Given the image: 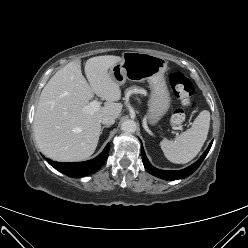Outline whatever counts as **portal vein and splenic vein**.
<instances>
[{
    "instance_id": "portal-vein-and-splenic-vein-1",
    "label": "portal vein and splenic vein",
    "mask_w": 248,
    "mask_h": 248,
    "mask_svg": "<svg viewBox=\"0 0 248 248\" xmlns=\"http://www.w3.org/2000/svg\"><path fill=\"white\" fill-rule=\"evenodd\" d=\"M101 103L98 100H93L87 106L83 108L84 112L92 113L99 110Z\"/></svg>"
}]
</instances>
